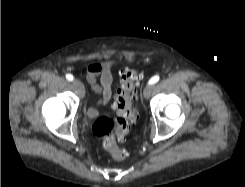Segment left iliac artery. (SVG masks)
Instances as JSON below:
<instances>
[{"instance_id":"left-iliac-artery-1","label":"left iliac artery","mask_w":245,"mask_h":187,"mask_svg":"<svg viewBox=\"0 0 245 187\" xmlns=\"http://www.w3.org/2000/svg\"><path fill=\"white\" fill-rule=\"evenodd\" d=\"M160 77L159 76H153L150 80H149V84H155L159 81Z\"/></svg>"}]
</instances>
